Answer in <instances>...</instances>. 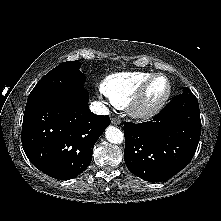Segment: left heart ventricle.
I'll return each mask as SVG.
<instances>
[{
    "label": "left heart ventricle",
    "instance_id": "left-heart-ventricle-1",
    "mask_svg": "<svg viewBox=\"0 0 221 221\" xmlns=\"http://www.w3.org/2000/svg\"><path fill=\"white\" fill-rule=\"evenodd\" d=\"M166 91L167 81L162 77L157 78L148 90L146 104L149 106L154 105L164 96Z\"/></svg>",
    "mask_w": 221,
    "mask_h": 221
}]
</instances>
